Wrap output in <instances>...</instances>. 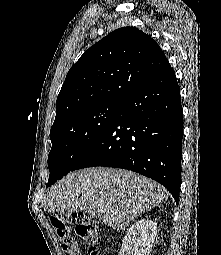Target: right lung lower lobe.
<instances>
[{
  "mask_svg": "<svg viewBox=\"0 0 221 255\" xmlns=\"http://www.w3.org/2000/svg\"><path fill=\"white\" fill-rule=\"evenodd\" d=\"M180 89L170 64L131 93L71 171L116 167L164 185L179 200L182 137Z\"/></svg>",
  "mask_w": 221,
  "mask_h": 255,
  "instance_id": "98d812e1",
  "label": "right lung lower lobe"
}]
</instances>
